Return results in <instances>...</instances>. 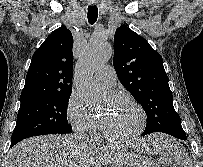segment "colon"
I'll return each mask as SVG.
<instances>
[{
  "label": "colon",
  "mask_w": 203,
  "mask_h": 167,
  "mask_svg": "<svg viewBox=\"0 0 203 167\" xmlns=\"http://www.w3.org/2000/svg\"><path fill=\"white\" fill-rule=\"evenodd\" d=\"M156 167H177V166L166 158H160L157 162Z\"/></svg>",
  "instance_id": "colon-1"
}]
</instances>
